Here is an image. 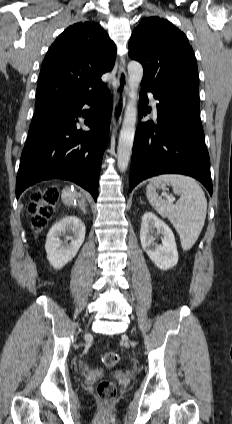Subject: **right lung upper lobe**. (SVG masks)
Masks as SVG:
<instances>
[{
	"instance_id": "1",
	"label": "right lung upper lobe",
	"mask_w": 232,
	"mask_h": 424,
	"mask_svg": "<svg viewBox=\"0 0 232 424\" xmlns=\"http://www.w3.org/2000/svg\"><path fill=\"white\" fill-rule=\"evenodd\" d=\"M115 44L97 23L68 27L47 52L39 74L36 108L90 99L115 62Z\"/></svg>"
}]
</instances>
